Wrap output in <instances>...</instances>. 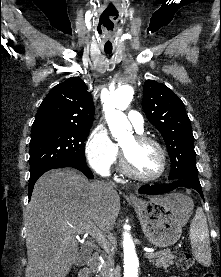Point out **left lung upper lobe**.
<instances>
[{"mask_svg":"<svg viewBox=\"0 0 221 277\" xmlns=\"http://www.w3.org/2000/svg\"><path fill=\"white\" fill-rule=\"evenodd\" d=\"M142 107L166 143L171 160L168 179L199 181L191 123L181 99L164 84L146 80Z\"/></svg>","mask_w":221,"mask_h":277,"instance_id":"obj_1","label":"left lung upper lobe"}]
</instances>
